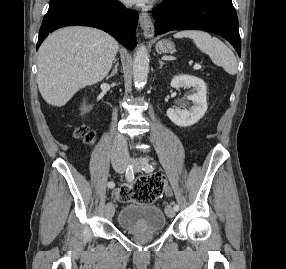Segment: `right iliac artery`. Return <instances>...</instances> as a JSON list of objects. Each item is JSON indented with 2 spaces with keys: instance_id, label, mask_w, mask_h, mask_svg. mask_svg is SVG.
<instances>
[{
  "instance_id": "right-iliac-artery-1",
  "label": "right iliac artery",
  "mask_w": 286,
  "mask_h": 269,
  "mask_svg": "<svg viewBox=\"0 0 286 269\" xmlns=\"http://www.w3.org/2000/svg\"><path fill=\"white\" fill-rule=\"evenodd\" d=\"M125 177L126 179L131 182L134 179V173H133V165H128L127 169H126V173H125ZM108 187L109 188H113L114 187V183L113 182H109L108 183Z\"/></svg>"
}]
</instances>
